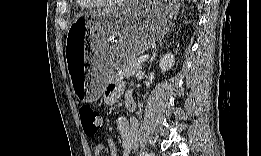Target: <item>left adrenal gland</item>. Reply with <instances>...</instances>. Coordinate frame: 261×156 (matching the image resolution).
Wrapping results in <instances>:
<instances>
[{
	"label": "left adrenal gland",
	"mask_w": 261,
	"mask_h": 156,
	"mask_svg": "<svg viewBox=\"0 0 261 156\" xmlns=\"http://www.w3.org/2000/svg\"><path fill=\"white\" fill-rule=\"evenodd\" d=\"M156 51H157V50H155V51L152 53V56L150 57L149 62H152V61H153V59H154V57H155V55H156Z\"/></svg>",
	"instance_id": "left-adrenal-gland-1"
}]
</instances>
